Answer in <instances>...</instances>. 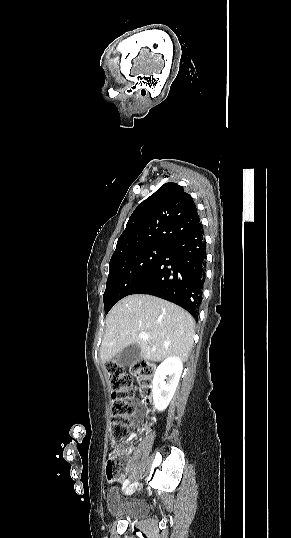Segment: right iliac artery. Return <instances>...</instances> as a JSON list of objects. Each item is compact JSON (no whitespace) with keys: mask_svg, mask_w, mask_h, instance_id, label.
Here are the masks:
<instances>
[{"mask_svg":"<svg viewBox=\"0 0 291 538\" xmlns=\"http://www.w3.org/2000/svg\"><path fill=\"white\" fill-rule=\"evenodd\" d=\"M128 483H129V479H126V480L124 481V483H123V487H122V489H125L126 486L128 485Z\"/></svg>","mask_w":291,"mask_h":538,"instance_id":"right-iliac-artery-1","label":"right iliac artery"}]
</instances>
